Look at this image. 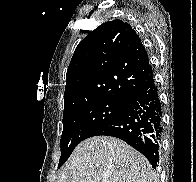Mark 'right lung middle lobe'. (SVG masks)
<instances>
[{
	"mask_svg": "<svg viewBox=\"0 0 196 182\" xmlns=\"http://www.w3.org/2000/svg\"><path fill=\"white\" fill-rule=\"evenodd\" d=\"M128 104V101L102 97L64 111L58 168L81 141L91 137L101 126L123 112Z\"/></svg>",
	"mask_w": 196,
	"mask_h": 182,
	"instance_id": "dd1d6c3e",
	"label": "right lung middle lobe"
}]
</instances>
